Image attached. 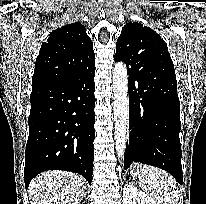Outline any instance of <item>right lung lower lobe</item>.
<instances>
[{"label": "right lung lower lobe", "mask_w": 206, "mask_h": 204, "mask_svg": "<svg viewBox=\"0 0 206 204\" xmlns=\"http://www.w3.org/2000/svg\"><path fill=\"white\" fill-rule=\"evenodd\" d=\"M95 65L32 87L24 179L47 170L78 173L91 184L95 139Z\"/></svg>", "instance_id": "98d812e1"}]
</instances>
